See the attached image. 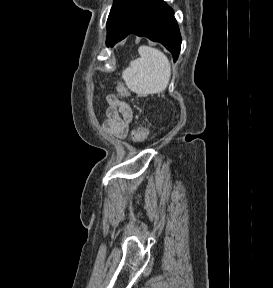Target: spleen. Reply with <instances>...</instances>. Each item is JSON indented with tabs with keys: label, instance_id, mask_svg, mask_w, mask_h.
Wrapping results in <instances>:
<instances>
[{
	"label": "spleen",
	"instance_id": "3e777b00",
	"mask_svg": "<svg viewBox=\"0 0 273 288\" xmlns=\"http://www.w3.org/2000/svg\"><path fill=\"white\" fill-rule=\"evenodd\" d=\"M140 57L131 61L122 73L128 89L138 95L163 92L171 77V65L167 56L156 48L142 45Z\"/></svg>",
	"mask_w": 273,
	"mask_h": 288
}]
</instances>
